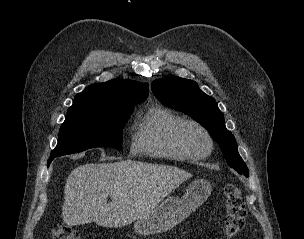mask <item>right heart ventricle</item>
<instances>
[{
    "label": "right heart ventricle",
    "instance_id": "e07e8e85",
    "mask_svg": "<svg viewBox=\"0 0 304 239\" xmlns=\"http://www.w3.org/2000/svg\"><path fill=\"white\" fill-rule=\"evenodd\" d=\"M182 118L171 110L161 107H151L135 125V135L138 139V149L142 154L153 158L184 160L182 154L172 141V130Z\"/></svg>",
    "mask_w": 304,
    "mask_h": 239
}]
</instances>
